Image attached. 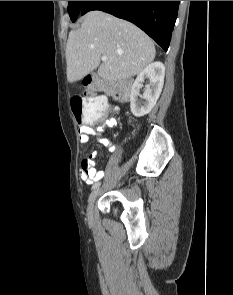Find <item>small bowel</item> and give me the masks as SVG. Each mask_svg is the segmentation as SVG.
Instances as JSON below:
<instances>
[{"label":"small bowel","mask_w":233,"mask_h":295,"mask_svg":"<svg viewBox=\"0 0 233 295\" xmlns=\"http://www.w3.org/2000/svg\"><path fill=\"white\" fill-rule=\"evenodd\" d=\"M116 121L114 119H110L107 121L108 126H115ZM95 137L98 142L105 146L111 153L116 152L117 148L113 145L109 139L104 136V127L97 126L93 127L91 125H83L79 128V140L80 143L85 146L87 145L89 138ZM98 153L96 151H92L89 155L82 159L79 173L83 181L88 184H92L100 180L104 176V172L102 170H97V162L96 158Z\"/></svg>","instance_id":"c3829d8e"}]
</instances>
